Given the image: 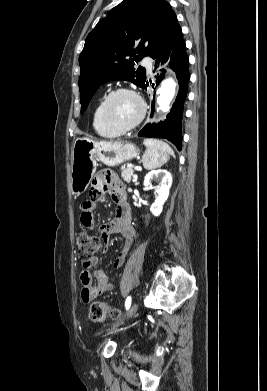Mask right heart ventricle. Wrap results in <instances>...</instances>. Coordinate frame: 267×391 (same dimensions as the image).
Returning a JSON list of instances; mask_svg holds the SVG:
<instances>
[{
  "label": "right heart ventricle",
  "mask_w": 267,
  "mask_h": 391,
  "mask_svg": "<svg viewBox=\"0 0 267 391\" xmlns=\"http://www.w3.org/2000/svg\"><path fill=\"white\" fill-rule=\"evenodd\" d=\"M101 104H102V100H100L97 103V105L94 109V112H93L92 124H93V128H94L95 132L98 135L105 137V138H114V137L119 136L122 133L110 129L103 122L102 117H101Z\"/></svg>",
  "instance_id": "1"
}]
</instances>
